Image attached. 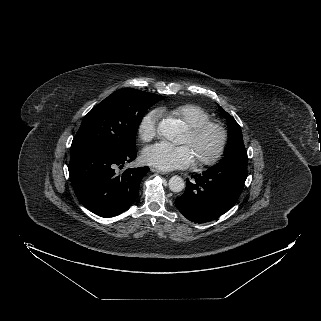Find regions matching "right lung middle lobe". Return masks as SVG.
I'll list each match as a JSON object with an SVG mask.
<instances>
[{
	"mask_svg": "<svg viewBox=\"0 0 321 321\" xmlns=\"http://www.w3.org/2000/svg\"><path fill=\"white\" fill-rule=\"evenodd\" d=\"M163 98L132 88L115 91L84 117L71 149L88 146L113 152L134 150L145 112Z\"/></svg>",
	"mask_w": 321,
	"mask_h": 321,
	"instance_id": "dd1d6c3e",
	"label": "right lung middle lobe"
}]
</instances>
